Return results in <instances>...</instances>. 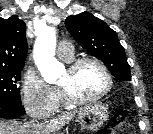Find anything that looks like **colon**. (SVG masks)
Here are the masks:
<instances>
[{
  "mask_svg": "<svg viewBox=\"0 0 153 134\" xmlns=\"http://www.w3.org/2000/svg\"><path fill=\"white\" fill-rule=\"evenodd\" d=\"M97 134H134L132 126L127 120V111L117 109L106 126L101 128Z\"/></svg>",
  "mask_w": 153,
  "mask_h": 134,
  "instance_id": "colon-1",
  "label": "colon"
}]
</instances>
